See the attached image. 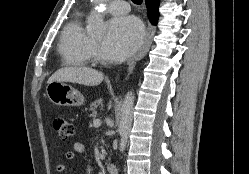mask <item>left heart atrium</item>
Returning <instances> with one entry per match:
<instances>
[{"label":"left heart atrium","instance_id":"left-heart-atrium-1","mask_svg":"<svg viewBox=\"0 0 249 174\" xmlns=\"http://www.w3.org/2000/svg\"><path fill=\"white\" fill-rule=\"evenodd\" d=\"M143 26L133 16L115 18L110 23V32L102 44L103 57L112 62L123 61L140 46Z\"/></svg>","mask_w":249,"mask_h":174}]
</instances>
